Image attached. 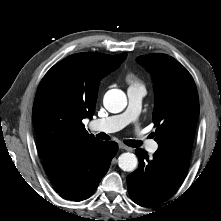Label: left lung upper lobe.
<instances>
[{"label":"left lung upper lobe","instance_id":"5c2ea615","mask_svg":"<svg viewBox=\"0 0 221 221\" xmlns=\"http://www.w3.org/2000/svg\"><path fill=\"white\" fill-rule=\"evenodd\" d=\"M138 61L151 72L155 107L153 122L158 149L190 159L199 115L195 82L177 60L166 54H148Z\"/></svg>","mask_w":221,"mask_h":221}]
</instances>
